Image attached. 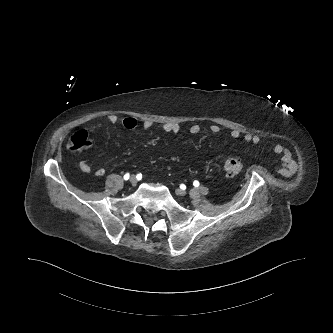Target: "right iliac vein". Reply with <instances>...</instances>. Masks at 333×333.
I'll return each mask as SVG.
<instances>
[{"label":"right iliac vein","mask_w":333,"mask_h":333,"mask_svg":"<svg viewBox=\"0 0 333 333\" xmlns=\"http://www.w3.org/2000/svg\"><path fill=\"white\" fill-rule=\"evenodd\" d=\"M132 186H135L137 184V179L135 176H131L129 179Z\"/></svg>","instance_id":"1"}]
</instances>
